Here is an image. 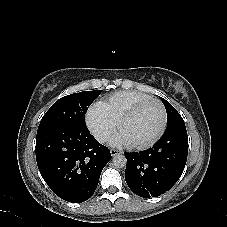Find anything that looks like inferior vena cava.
I'll list each match as a JSON object with an SVG mask.
<instances>
[{"label":"inferior vena cava","instance_id":"inferior-vena-cava-1","mask_svg":"<svg viewBox=\"0 0 227 227\" xmlns=\"http://www.w3.org/2000/svg\"><path fill=\"white\" fill-rule=\"evenodd\" d=\"M95 137H96V140L98 142H100V143L107 142L108 141V138H109L108 135L105 134V133H98V134L95 135Z\"/></svg>","mask_w":227,"mask_h":227}]
</instances>
